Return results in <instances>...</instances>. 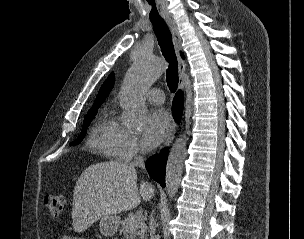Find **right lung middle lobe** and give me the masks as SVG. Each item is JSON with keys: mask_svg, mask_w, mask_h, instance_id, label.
<instances>
[{"mask_svg": "<svg viewBox=\"0 0 304 239\" xmlns=\"http://www.w3.org/2000/svg\"><path fill=\"white\" fill-rule=\"evenodd\" d=\"M98 108L99 107H94L88 111V113L84 119L83 128L80 133V136L74 142H72L70 145H77L82 141V139L84 138V136L86 134V129L89 126V124H90L91 120L93 119V117L95 116V114L97 113Z\"/></svg>", "mask_w": 304, "mask_h": 239, "instance_id": "right-lung-middle-lobe-1", "label": "right lung middle lobe"}]
</instances>
